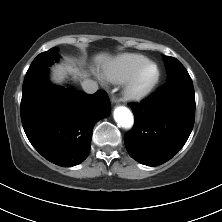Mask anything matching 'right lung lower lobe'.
<instances>
[{
    "instance_id": "right-lung-lower-lobe-1",
    "label": "right lung lower lobe",
    "mask_w": 222,
    "mask_h": 222,
    "mask_svg": "<svg viewBox=\"0 0 222 222\" xmlns=\"http://www.w3.org/2000/svg\"><path fill=\"white\" fill-rule=\"evenodd\" d=\"M108 95L46 85L22 95L21 120L27 138L48 161L71 167L86 159L95 123L110 114Z\"/></svg>"
}]
</instances>
